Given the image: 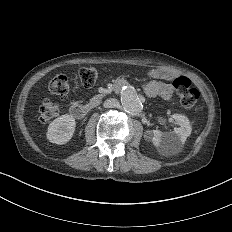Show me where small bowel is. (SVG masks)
Masks as SVG:
<instances>
[{"label": "small bowel", "mask_w": 232, "mask_h": 232, "mask_svg": "<svg viewBox=\"0 0 232 232\" xmlns=\"http://www.w3.org/2000/svg\"><path fill=\"white\" fill-rule=\"evenodd\" d=\"M145 91L148 95L154 96L157 94L165 93L169 90V87L163 86L159 81L156 79H150L145 83ZM168 98L169 95H166Z\"/></svg>", "instance_id": "1"}]
</instances>
